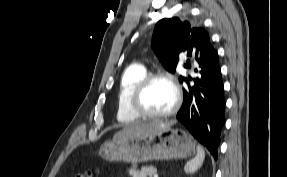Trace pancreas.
<instances>
[{
  "instance_id": "obj_1",
  "label": "pancreas",
  "mask_w": 287,
  "mask_h": 177,
  "mask_svg": "<svg viewBox=\"0 0 287 177\" xmlns=\"http://www.w3.org/2000/svg\"><path fill=\"white\" fill-rule=\"evenodd\" d=\"M156 171V168H154L153 166H143L141 170L132 167L129 170V174L132 177H151L153 174L156 173Z\"/></svg>"
}]
</instances>
